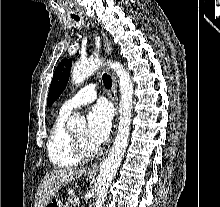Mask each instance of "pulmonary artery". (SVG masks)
<instances>
[{
  "instance_id": "obj_1",
  "label": "pulmonary artery",
  "mask_w": 220,
  "mask_h": 207,
  "mask_svg": "<svg viewBox=\"0 0 220 207\" xmlns=\"http://www.w3.org/2000/svg\"><path fill=\"white\" fill-rule=\"evenodd\" d=\"M96 96V85L88 84L63 103L61 112L70 114L75 109L92 102Z\"/></svg>"
}]
</instances>
